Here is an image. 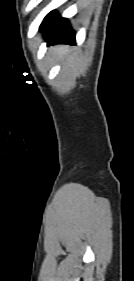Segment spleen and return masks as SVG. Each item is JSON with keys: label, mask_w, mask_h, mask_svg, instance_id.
Returning <instances> with one entry per match:
<instances>
[{"label": "spleen", "mask_w": 134, "mask_h": 281, "mask_svg": "<svg viewBox=\"0 0 134 281\" xmlns=\"http://www.w3.org/2000/svg\"><path fill=\"white\" fill-rule=\"evenodd\" d=\"M68 49L66 47H62L58 49V58L62 59L67 54Z\"/></svg>", "instance_id": "obj_1"}]
</instances>
